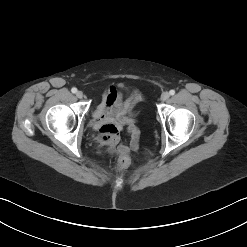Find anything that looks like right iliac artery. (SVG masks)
<instances>
[{
  "instance_id": "1",
  "label": "right iliac artery",
  "mask_w": 247,
  "mask_h": 247,
  "mask_svg": "<svg viewBox=\"0 0 247 247\" xmlns=\"http://www.w3.org/2000/svg\"><path fill=\"white\" fill-rule=\"evenodd\" d=\"M72 93H76L77 92V89L74 87L71 89Z\"/></svg>"
}]
</instances>
